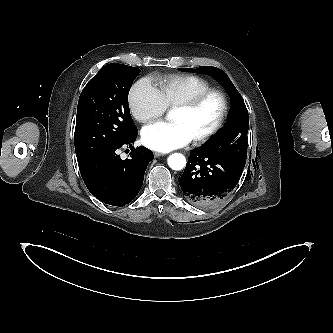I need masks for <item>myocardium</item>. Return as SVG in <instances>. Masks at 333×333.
Listing matches in <instances>:
<instances>
[{
  "mask_svg": "<svg viewBox=\"0 0 333 333\" xmlns=\"http://www.w3.org/2000/svg\"><path fill=\"white\" fill-rule=\"evenodd\" d=\"M211 96H217L220 98L222 102V111L219 116V119L209 131H207L205 134L199 137L192 139L195 145H202L208 142L211 138L217 135L220 132V130L224 127L229 113V101L226 94L221 90L211 88L195 95L191 99L182 102L174 107V110L178 109L185 111H193L197 109L203 102H205Z\"/></svg>",
  "mask_w": 333,
  "mask_h": 333,
  "instance_id": "obj_1",
  "label": "myocardium"
}]
</instances>
